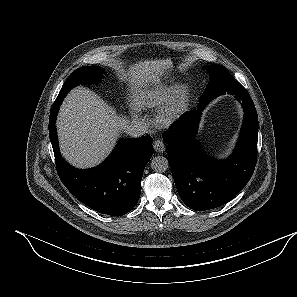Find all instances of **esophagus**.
<instances>
[{
  "label": "esophagus",
  "instance_id": "obj_1",
  "mask_svg": "<svg viewBox=\"0 0 297 297\" xmlns=\"http://www.w3.org/2000/svg\"><path fill=\"white\" fill-rule=\"evenodd\" d=\"M153 148L158 153H163L165 151V145L161 140H155L153 142Z\"/></svg>",
  "mask_w": 297,
  "mask_h": 297
}]
</instances>
